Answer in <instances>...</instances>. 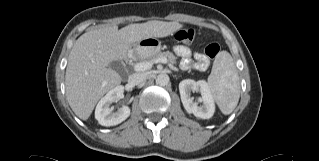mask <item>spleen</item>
<instances>
[{"instance_id":"spleen-1","label":"spleen","mask_w":319,"mask_h":161,"mask_svg":"<svg viewBox=\"0 0 319 161\" xmlns=\"http://www.w3.org/2000/svg\"><path fill=\"white\" fill-rule=\"evenodd\" d=\"M208 87L221 112L231 114L240 98V82L233 58L227 51L216 55L208 77Z\"/></svg>"}]
</instances>
